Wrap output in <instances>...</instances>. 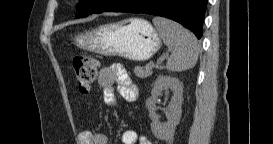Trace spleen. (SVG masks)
I'll list each match as a JSON object with an SVG mask.
<instances>
[{
  "label": "spleen",
  "mask_w": 273,
  "mask_h": 144,
  "mask_svg": "<svg viewBox=\"0 0 273 144\" xmlns=\"http://www.w3.org/2000/svg\"><path fill=\"white\" fill-rule=\"evenodd\" d=\"M153 24L168 50L171 51L166 64L167 69L172 72H181L193 68L199 54L197 40L193 33L163 17H155Z\"/></svg>",
  "instance_id": "3e777b00"
}]
</instances>
